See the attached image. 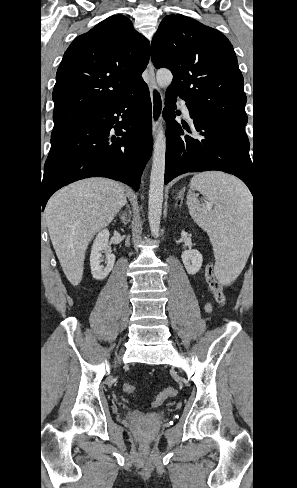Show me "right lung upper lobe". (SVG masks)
Instances as JSON below:
<instances>
[{"instance_id": "cb5924a9", "label": "right lung upper lobe", "mask_w": 297, "mask_h": 488, "mask_svg": "<svg viewBox=\"0 0 297 488\" xmlns=\"http://www.w3.org/2000/svg\"><path fill=\"white\" fill-rule=\"evenodd\" d=\"M149 49V42L123 15L78 36L57 70L53 132L109 107L143 82Z\"/></svg>"}]
</instances>
